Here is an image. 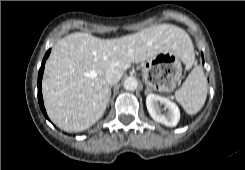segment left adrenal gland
I'll return each instance as SVG.
<instances>
[{
    "label": "left adrenal gland",
    "mask_w": 245,
    "mask_h": 170,
    "mask_svg": "<svg viewBox=\"0 0 245 170\" xmlns=\"http://www.w3.org/2000/svg\"><path fill=\"white\" fill-rule=\"evenodd\" d=\"M148 91H149V88L147 87L146 90H145V94H147Z\"/></svg>",
    "instance_id": "a2214340"
}]
</instances>
